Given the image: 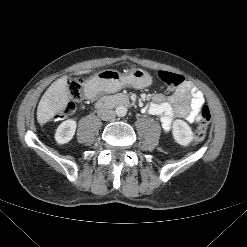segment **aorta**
Returning a JSON list of instances; mask_svg holds the SVG:
<instances>
[{
    "label": "aorta",
    "mask_w": 247,
    "mask_h": 247,
    "mask_svg": "<svg viewBox=\"0 0 247 247\" xmlns=\"http://www.w3.org/2000/svg\"><path fill=\"white\" fill-rule=\"evenodd\" d=\"M115 113L119 117H124L127 114V108L126 106L119 105L115 109Z\"/></svg>",
    "instance_id": "762f6f07"
}]
</instances>
